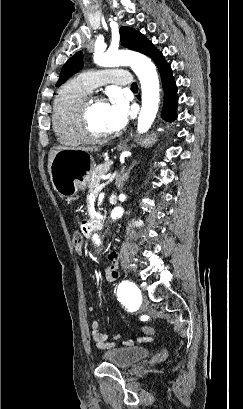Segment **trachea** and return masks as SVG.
Masks as SVG:
<instances>
[{
  "label": "trachea",
  "mask_w": 243,
  "mask_h": 409,
  "mask_svg": "<svg viewBox=\"0 0 243 409\" xmlns=\"http://www.w3.org/2000/svg\"><path fill=\"white\" fill-rule=\"evenodd\" d=\"M136 88H138L137 84H136V83H132L131 89H136Z\"/></svg>",
  "instance_id": "3493384b"
}]
</instances>
